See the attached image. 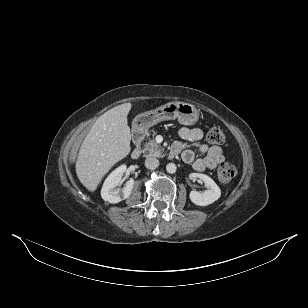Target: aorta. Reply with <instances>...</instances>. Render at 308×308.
<instances>
[{"mask_svg":"<svg viewBox=\"0 0 308 308\" xmlns=\"http://www.w3.org/2000/svg\"><path fill=\"white\" fill-rule=\"evenodd\" d=\"M176 169H177V167H176V165H175L174 163H168V164L166 165V171H167L168 173H170V174L175 173V172H176Z\"/></svg>","mask_w":308,"mask_h":308,"instance_id":"1","label":"aorta"}]
</instances>
